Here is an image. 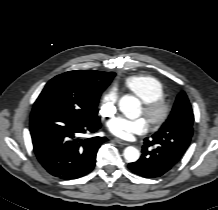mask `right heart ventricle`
<instances>
[{"instance_id":"obj_1","label":"right heart ventricle","mask_w":218,"mask_h":210,"mask_svg":"<svg viewBox=\"0 0 218 210\" xmlns=\"http://www.w3.org/2000/svg\"><path fill=\"white\" fill-rule=\"evenodd\" d=\"M123 85L143 102L151 101L164 95L162 83L151 75L130 76L124 80Z\"/></svg>"}]
</instances>
